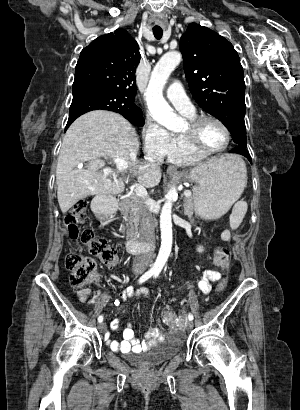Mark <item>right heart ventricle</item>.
<instances>
[{
  "label": "right heart ventricle",
  "instance_id": "e07e8e85",
  "mask_svg": "<svg viewBox=\"0 0 300 410\" xmlns=\"http://www.w3.org/2000/svg\"><path fill=\"white\" fill-rule=\"evenodd\" d=\"M185 115L190 119L194 117V113ZM170 135V147L166 156L164 157L167 159V161L179 165H193L205 158L190 149L182 134Z\"/></svg>",
  "mask_w": 300,
  "mask_h": 410
}]
</instances>
